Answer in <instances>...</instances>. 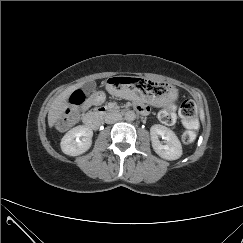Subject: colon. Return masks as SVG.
I'll return each mask as SVG.
<instances>
[{
  "label": "colon",
  "instance_id": "colon-1",
  "mask_svg": "<svg viewBox=\"0 0 243 243\" xmlns=\"http://www.w3.org/2000/svg\"><path fill=\"white\" fill-rule=\"evenodd\" d=\"M85 102V94L81 90L73 92L69 98L70 107L66 113L57 121V128L60 130L68 129L78 117ZM179 116L185 127L181 139L185 144H190L196 137L197 106L192 100L184 101L179 108ZM162 123L172 125L175 122V106L168 105L159 115Z\"/></svg>",
  "mask_w": 243,
  "mask_h": 243
}]
</instances>
